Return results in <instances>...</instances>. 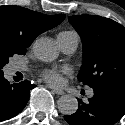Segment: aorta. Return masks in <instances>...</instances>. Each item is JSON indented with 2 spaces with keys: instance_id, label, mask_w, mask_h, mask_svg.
I'll return each mask as SVG.
<instances>
[{
  "instance_id": "obj_1",
  "label": "aorta",
  "mask_w": 125,
  "mask_h": 125,
  "mask_svg": "<svg viewBox=\"0 0 125 125\" xmlns=\"http://www.w3.org/2000/svg\"><path fill=\"white\" fill-rule=\"evenodd\" d=\"M35 56L44 62L53 61L58 57V49L50 38H39L34 42ZM58 109L63 115H72L78 109V102L74 96L64 95L58 99Z\"/></svg>"
}]
</instances>
